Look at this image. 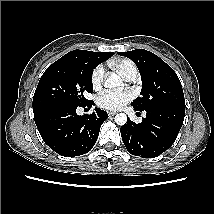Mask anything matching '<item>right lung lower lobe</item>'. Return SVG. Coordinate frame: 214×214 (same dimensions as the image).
<instances>
[{
	"label": "right lung lower lobe",
	"instance_id": "obj_1",
	"mask_svg": "<svg viewBox=\"0 0 214 214\" xmlns=\"http://www.w3.org/2000/svg\"><path fill=\"white\" fill-rule=\"evenodd\" d=\"M94 104H51L34 112V120L43 141L62 156H79L89 152L99 135L102 123L108 118L106 111L95 108L90 115H77L78 107Z\"/></svg>",
	"mask_w": 214,
	"mask_h": 214
}]
</instances>
